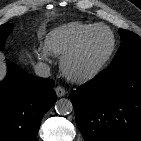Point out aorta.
Here are the masks:
<instances>
[{
    "label": "aorta",
    "mask_w": 141,
    "mask_h": 141,
    "mask_svg": "<svg viewBox=\"0 0 141 141\" xmlns=\"http://www.w3.org/2000/svg\"><path fill=\"white\" fill-rule=\"evenodd\" d=\"M55 110L59 115H67L72 112L73 105L70 100L61 98L56 101Z\"/></svg>",
    "instance_id": "aorta-1"
}]
</instances>
